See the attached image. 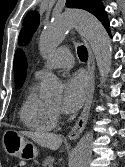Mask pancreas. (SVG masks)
Instances as JSON below:
<instances>
[{
	"instance_id": "cf45deb5",
	"label": "pancreas",
	"mask_w": 125,
	"mask_h": 167,
	"mask_svg": "<svg viewBox=\"0 0 125 167\" xmlns=\"http://www.w3.org/2000/svg\"><path fill=\"white\" fill-rule=\"evenodd\" d=\"M54 162V158L49 156L47 158H45V160H43L42 162V166L43 167H50Z\"/></svg>"
}]
</instances>
